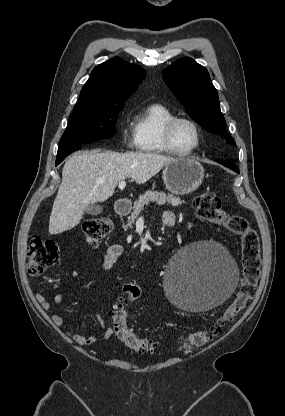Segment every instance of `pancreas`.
Here are the masks:
<instances>
[{
	"instance_id": "1",
	"label": "pancreas",
	"mask_w": 285,
	"mask_h": 416,
	"mask_svg": "<svg viewBox=\"0 0 285 416\" xmlns=\"http://www.w3.org/2000/svg\"><path fill=\"white\" fill-rule=\"evenodd\" d=\"M149 202H156L158 206H163V204L179 206V204H183L182 200H180V198H176L173 194H164V192H152V190H149V192H145V194L139 196L138 200L134 202L133 212H131L130 216L131 220H128L124 228H133L132 224H134L144 206H147Z\"/></svg>"
}]
</instances>
